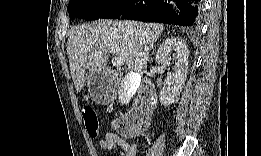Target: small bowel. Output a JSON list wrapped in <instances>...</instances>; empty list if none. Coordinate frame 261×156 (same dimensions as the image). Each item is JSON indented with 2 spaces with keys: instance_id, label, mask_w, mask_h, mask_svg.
<instances>
[{
  "instance_id": "small-bowel-1",
  "label": "small bowel",
  "mask_w": 261,
  "mask_h": 156,
  "mask_svg": "<svg viewBox=\"0 0 261 156\" xmlns=\"http://www.w3.org/2000/svg\"><path fill=\"white\" fill-rule=\"evenodd\" d=\"M99 146L107 151H119L121 155L125 156H134L137 151L136 144H128L122 138L110 132L99 141Z\"/></svg>"
}]
</instances>
